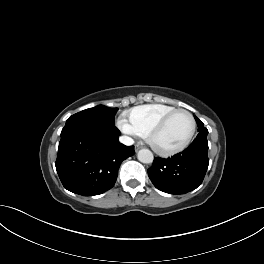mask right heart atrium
<instances>
[{
	"label": "right heart atrium",
	"mask_w": 264,
	"mask_h": 264,
	"mask_svg": "<svg viewBox=\"0 0 264 264\" xmlns=\"http://www.w3.org/2000/svg\"><path fill=\"white\" fill-rule=\"evenodd\" d=\"M117 125L119 127V129L125 133L126 135L129 136H138L136 130L134 129V127L132 126V124L127 120L126 117L121 116L118 121H117Z\"/></svg>",
	"instance_id": "obj_1"
}]
</instances>
